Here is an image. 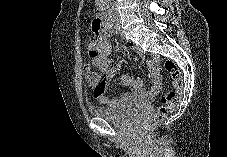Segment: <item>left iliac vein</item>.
Here are the masks:
<instances>
[{"instance_id": "4c4485c4", "label": "left iliac vein", "mask_w": 227, "mask_h": 157, "mask_svg": "<svg viewBox=\"0 0 227 157\" xmlns=\"http://www.w3.org/2000/svg\"><path fill=\"white\" fill-rule=\"evenodd\" d=\"M118 33H120V34H121V31H120V29L118 30Z\"/></svg>"}]
</instances>
